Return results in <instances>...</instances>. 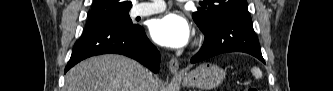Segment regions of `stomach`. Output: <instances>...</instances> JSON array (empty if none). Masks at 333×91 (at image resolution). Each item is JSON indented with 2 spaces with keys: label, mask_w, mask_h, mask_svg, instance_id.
Returning a JSON list of instances; mask_svg holds the SVG:
<instances>
[{
  "label": "stomach",
  "mask_w": 333,
  "mask_h": 91,
  "mask_svg": "<svg viewBox=\"0 0 333 91\" xmlns=\"http://www.w3.org/2000/svg\"><path fill=\"white\" fill-rule=\"evenodd\" d=\"M225 78V72L215 64L205 63L196 69L185 74L182 78V85L195 87L202 90H212L218 87Z\"/></svg>",
  "instance_id": "stomach-1"
}]
</instances>
